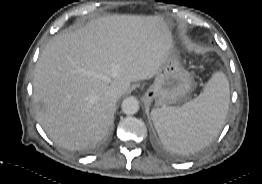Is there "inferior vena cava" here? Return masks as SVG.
I'll list each match as a JSON object with an SVG mask.
<instances>
[{"mask_svg":"<svg viewBox=\"0 0 262 184\" xmlns=\"http://www.w3.org/2000/svg\"><path fill=\"white\" fill-rule=\"evenodd\" d=\"M106 97L112 101H116L119 98V90L117 87H110L106 92Z\"/></svg>","mask_w":262,"mask_h":184,"instance_id":"1","label":"inferior vena cava"}]
</instances>
